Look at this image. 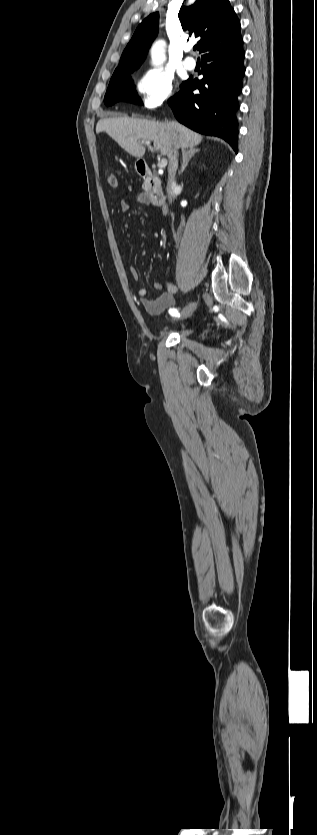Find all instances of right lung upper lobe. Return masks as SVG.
I'll return each mask as SVG.
<instances>
[{
	"instance_id": "obj_1",
	"label": "right lung upper lobe",
	"mask_w": 317,
	"mask_h": 835,
	"mask_svg": "<svg viewBox=\"0 0 317 835\" xmlns=\"http://www.w3.org/2000/svg\"><path fill=\"white\" fill-rule=\"evenodd\" d=\"M179 19L189 36L200 37L198 50L203 53L210 46L233 40L240 36V21L229 0H196L189 7H182ZM159 13H152L137 27L126 46L116 70L137 69L144 61L148 49L158 33Z\"/></svg>"
}]
</instances>
